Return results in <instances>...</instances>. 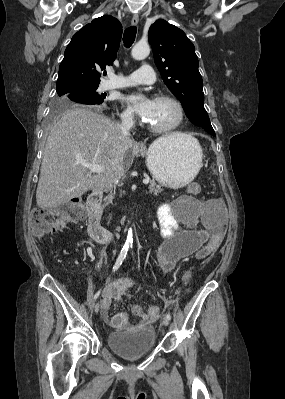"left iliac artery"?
Listing matches in <instances>:
<instances>
[{
  "instance_id": "44dca946",
  "label": "left iliac artery",
  "mask_w": 285,
  "mask_h": 399,
  "mask_svg": "<svg viewBox=\"0 0 285 399\" xmlns=\"http://www.w3.org/2000/svg\"><path fill=\"white\" fill-rule=\"evenodd\" d=\"M132 255H133V254H132ZM166 317L170 320V319H171L170 313H167V314H166Z\"/></svg>"
}]
</instances>
